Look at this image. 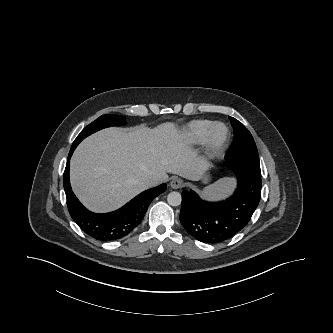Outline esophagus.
<instances>
[{
	"instance_id": "obj_1",
	"label": "esophagus",
	"mask_w": 333,
	"mask_h": 333,
	"mask_svg": "<svg viewBox=\"0 0 333 333\" xmlns=\"http://www.w3.org/2000/svg\"><path fill=\"white\" fill-rule=\"evenodd\" d=\"M184 186V182L182 179L180 178H174L172 179V181L170 182V187L172 189H179L182 188Z\"/></svg>"
}]
</instances>
